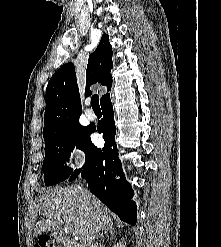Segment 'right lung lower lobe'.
I'll use <instances>...</instances> for the list:
<instances>
[{
  "mask_svg": "<svg viewBox=\"0 0 221 247\" xmlns=\"http://www.w3.org/2000/svg\"><path fill=\"white\" fill-rule=\"evenodd\" d=\"M103 118L98 123L97 130L103 135L105 145L97 148L89 140L85 165L76 169L69 177L74 180L81 172V177L88 182L90 191L97 196L119 218L131 225H135L137 207L131 201L134 194L131 185L126 181L122 171V164L118 158L117 145L115 143L116 127L114 113L110 97L101 103ZM95 129L89 127V133ZM116 175L120 179H116Z\"/></svg>",
  "mask_w": 221,
  "mask_h": 247,
  "instance_id": "1",
  "label": "right lung lower lobe"
}]
</instances>
